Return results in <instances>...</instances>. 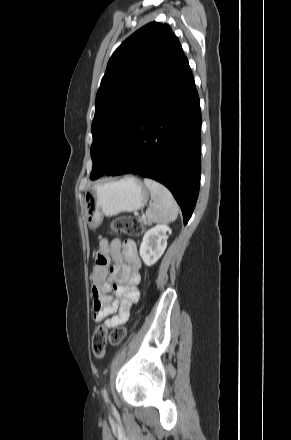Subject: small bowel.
I'll return each instance as SVG.
<instances>
[{
    "instance_id": "small-bowel-1",
    "label": "small bowel",
    "mask_w": 291,
    "mask_h": 440,
    "mask_svg": "<svg viewBox=\"0 0 291 440\" xmlns=\"http://www.w3.org/2000/svg\"><path fill=\"white\" fill-rule=\"evenodd\" d=\"M113 260V265H110ZM140 260L135 241L122 244L102 239L90 274L96 322L114 328L127 322L132 306L139 300ZM112 295H106V292ZM111 318L107 319L108 316Z\"/></svg>"
}]
</instances>
